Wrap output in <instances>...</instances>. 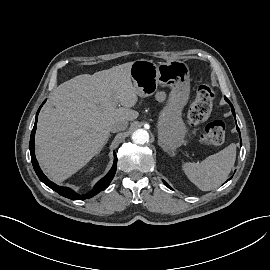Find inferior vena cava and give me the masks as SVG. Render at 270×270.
Masks as SVG:
<instances>
[{
    "mask_svg": "<svg viewBox=\"0 0 270 270\" xmlns=\"http://www.w3.org/2000/svg\"><path fill=\"white\" fill-rule=\"evenodd\" d=\"M127 126H128L127 121L114 122L110 127V131L111 132L122 131V130H125Z\"/></svg>",
    "mask_w": 270,
    "mask_h": 270,
    "instance_id": "602c4592",
    "label": "inferior vena cava"
}]
</instances>
